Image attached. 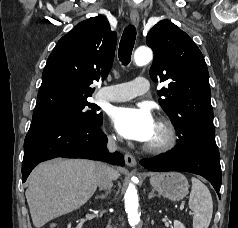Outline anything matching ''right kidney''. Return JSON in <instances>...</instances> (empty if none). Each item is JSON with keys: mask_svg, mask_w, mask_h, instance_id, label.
<instances>
[{"mask_svg": "<svg viewBox=\"0 0 238 228\" xmlns=\"http://www.w3.org/2000/svg\"><path fill=\"white\" fill-rule=\"evenodd\" d=\"M68 228H71V225H70V224L68 225Z\"/></svg>", "mask_w": 238, "mask_h": 228, "instance_id": "ca27d5eb", "label": "right kidney"}]
</instances>
